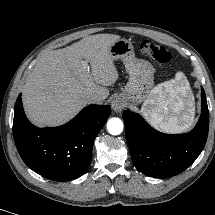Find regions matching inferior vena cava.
Instances as JSON below:
<instances>
[{"label":"inferior vena cava","instance_id":"602c4592","mask_svg":"<svg viewBox=\"0 0 215 215\" xmlns=\"http://www.w3.org/2000/svg\"><path fill=\"white\" fill-rule=\"evenodd\" d=\"M87 100L91 104H102L104 98L101 95L93 94V95H89Z\"/></svg>","mask_w":215,"mask_h":215}]
</instances>
